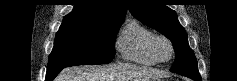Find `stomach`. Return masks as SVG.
<instances>
[{
  "mask_svg": "<svg viewBox=\"0 0 237 81\" xmlns=\"http://www.w3.org/2000/svg\"><path fill=\"white\" fill-rule=\"evenodd\" d=\"M153 81H163V80L160 78V79H158V80H153Z\"/></svg>",
  "mask_w": 237,
  "mask_h": 81,
  "instance_id": "1",
  "label": "stomach"
}]
</instances>
